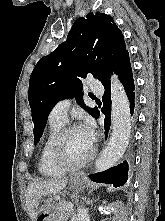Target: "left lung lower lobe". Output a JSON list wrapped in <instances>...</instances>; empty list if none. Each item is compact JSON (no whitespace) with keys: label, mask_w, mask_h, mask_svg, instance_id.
<instances>
[{"label":"left lung lower lobe","mask_w":165,"mask_h":221,"mask_svg":"<svg viewBox=\"0 0 165 221\" xmlns=\"http://www.w3.org/2000/svg\"><path fill=\"white\" fill-rule=\"evenodd\" d=\"M115 73L118 75V78L122 82L127 97L130 102V111L131 114L134 112L135 107V85L133 80V73L130 64L129 54L126 55L119 66L117 67ZM105 92L102 97V101L104 103L102 108V113L105 114L104 126H105V136L107 137L110 123H111V88H110V78L107 79L104 83H102ZM98 112L95 115V118H98ZM92 181L98 183H108L113 184L114 187L122 186L126 183L128 179V162L124 161L123 163L117 165L116 167H112L104 172L96 173L93 175H89Z\"/></svg>","instance_id":"1"}]
</instances>
